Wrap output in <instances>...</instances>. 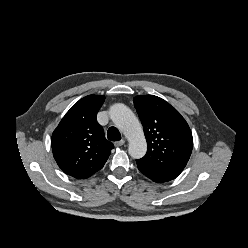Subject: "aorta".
Listing matches in <instances>:
<instances>
[{"mask_svg":"<svg viewBox=\"0 0 248 248\" xmlns=\"http://www.w3.org/2000/svg\"><path fill=\"white\" fill-rule=\"evenodd\" d=\"M109 115L128 139L129 155L134 159L142 158L147 151V143L142 126L134 113L126 105L116 103L110 107Z\"/></svg>","mask_w":248,"mask_h":248,"instance_id":"762f6f07","label":"aorta"}]
</instances>
